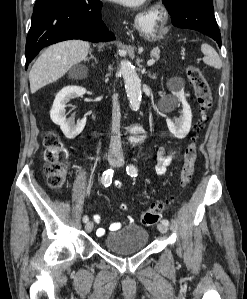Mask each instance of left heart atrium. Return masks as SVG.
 <instances>
[{
  "label": "left heart atrium",
  "mask_w": 247,
  "mask_h": 299,
  "mask_svg": "<svg viewBox=\"0 0 247 299\" xmlns=\"http://www.w3.org/2000/svg\"><path fill=\"white\" fill-rule=\"evenodd\" d=\"M112 1L123 3L126 5H137L141 3L143 0H112Z\"/></svg>",
  "instance_id": "1"
}]
</instances>
